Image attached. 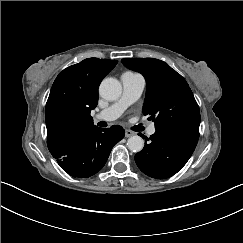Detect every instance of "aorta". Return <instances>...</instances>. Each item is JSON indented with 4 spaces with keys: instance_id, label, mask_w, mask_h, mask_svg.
I'll list each match as a JSON object with an SVG mask.
<instances>
[{
    "instance_id": "762f6f07",
    "label": "aorta",
    "mask_w": 243,
    "mask_h": 243,
    "mask_svg": "<svg viewBox=\"0 0 243 243\" xmlns=\"http://www.w3.org/2000/svg\"><path fill=\"white\" fill-rule=\"evenodd\" d=\"M122 92L120 82L115 78L104 79L99 87V95L109 101H114L119 98ZM144 141L138 135L130 136L127 140V147L132 152H139L143 149Z\"/></svg>"
}]
</instances>
